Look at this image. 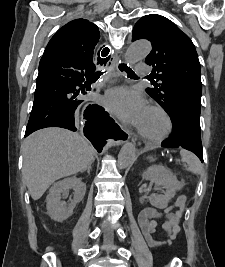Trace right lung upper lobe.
<instances>
[{
    "label": "right lung upper lobe",
    "mask_w": 225,
    "mask_h": 267,
    "mask_svg": "<svg viewBox=\"0 0 225 267\" xmlns=\"http://www.w3.org/2000/svg\"><path fill=\"white\" fill-rule=\"evenodd\" d=\"M100 38L98 27L85 19H75L61 27L49 41L45 53L78 55L85 60L92 72L103 62L94 51Z\"/></svg>",
    "instance_id": "right-lung-upper-lobe-1"
}]
</instances>
